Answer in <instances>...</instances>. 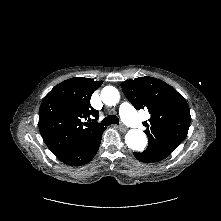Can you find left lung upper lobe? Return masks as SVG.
<instances>
[{
    "label": "left lung upper lobe",
    "instance_id": "left-lung-upper-lobe-1",
    "mask_svg": "<svg viewBox=\"0 0 221 221\" xmlns=\"http://www.w3.org/2000/svg\"><path fill=\"white\" fill-rule=\"evenodd\" d=\"M122 91L137 109L151 117L144 122L148 147L173 152L185 139L191 122L186 100L173 87L153 77H139L121 84Z\"/></svg>",
    "mask_w": 221,
    "mask_h": 221
}]
</instances>
